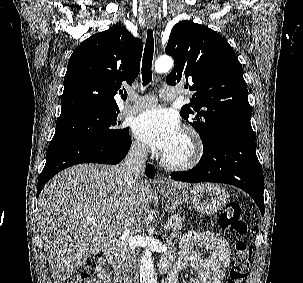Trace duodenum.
<instances>
[{
  "mask_svg": "<svg viewBox=\"0 0 303 283\" xmlns=\"http://www.w3.org/2000/svg\"><path fill=\"white\" fill-rule=\"evenodd\" d=\"M118 252L114 248H110L107 250L105 254V258L107 261L114 263L117 260ZM170 263L171 261L168 259H162L158 264V269L161 273L167 275L166 283H176L175 279H173L170 271ZM118 283H127V278L123 272H120L118 277Z\"/></svg>",
  "mask_w": 303,
  "mask_h": 283,
  "instance_id": "1",
  "label": "duodenum"
}]
</instances>
